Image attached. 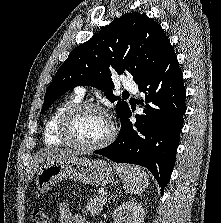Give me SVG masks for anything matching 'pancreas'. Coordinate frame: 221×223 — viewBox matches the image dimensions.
Listing matches in <instances>:
<instances>
[{
	"label": "pancreas",
	"mask_w": 221,
	"mask_h": 223,
	"mask_svg": "<svg viewBox=\"0 0 221 223\" xmlns=\"http://www.w3.org/2000/svg\"><path fill=\"white\" fill-rule=\"evenodd\" d=\"M106 202H107V197L103 195H98L95 196L94 198H91L88 201L85 208L92 217H95L101 213V211L103 210V206L106 204Z\"/></svg>",
	"instance_id": "obj_1"
}]
</instances>
